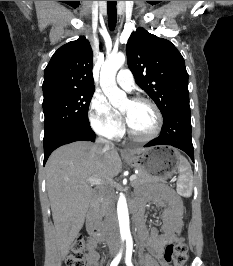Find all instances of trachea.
I'll use <instances>...</instances> for the list:
<instances>
[{
    "label": "trachea",
    "mask_w": 233,
    "mask_h": 266,
    "mask_svg": "<svg viewBox=\"0 0 233 266\" xmlns=\"http://www.w3.org/2000/svg\"><path fill=\"white\" fill-rule=\"evenodd\" d=\"M108 25L110 30H114L117 22L116 1H108Z\"/></svg>",
    "instance_id": "trachea-1"
}]
</instances>
